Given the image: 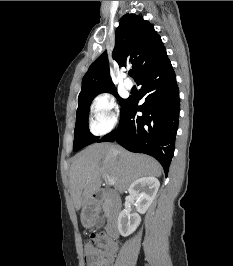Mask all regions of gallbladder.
Segmentation results:
<instances>
[{"instance_id":"gallbladder-1","label":"gallbladder","mask_w":233,"mask_h":266,"mask_svg":"<svg viewBox=\"0 0 233 266\" xmlns=\"http://www.w3.org/2000/svg\"><path fill=\"white\" fill-rule=\"evenodd\" d=\"M104 222H105V217L103 215H99L94 221L92 228L100 229L103 226Z\"/></svg>"}]
</instances>
